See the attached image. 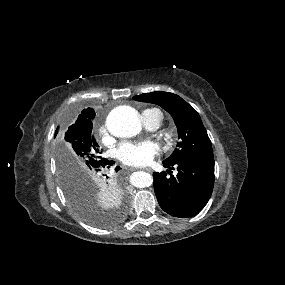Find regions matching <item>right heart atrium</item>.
<instances>
[{"label":"right heart atrium","instance_id":"1","mask_svg":"<svg viewBox=\"0 0 285 285\" xmlns=\"http://www.w3.org/2000/svg\"><path fill=\"white\" fill-rule=\"evenodd\" d=\"M99 133L103 138H106L108 136V130L105 123L100 124Z\"/></svg>","mask_w":285,"mask_h":285}]
</instances>
